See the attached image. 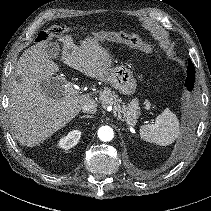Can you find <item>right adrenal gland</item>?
Returning a JSON list of instances; mask_svg holds the SVG:
<instances>
[{
    "label": "right adrenal gland",
    "instance_id": "right-adrenal-gland-1",
    "mask_svg": "<svg viewBox=\"0 0 211 211\" xmlns=\"http://www.w3.org/2000/svg\"><path fill=\"white\" fill-rule=\"evenodd\" d=\"M80 118H92V116L91 115H83Z\"/></svg>",
    "mask_w": 211,
    "mask_h": 211
}]
</instances>
